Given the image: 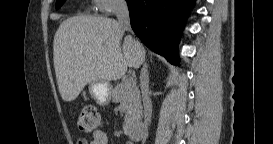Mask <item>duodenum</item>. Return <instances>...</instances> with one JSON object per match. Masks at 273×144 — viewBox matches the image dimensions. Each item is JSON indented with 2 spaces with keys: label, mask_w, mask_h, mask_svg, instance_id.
<instances>
[{
  "label": "duodenum",
  "mask_w": 273,
  "mask_h": 144,
  "mask_svg": "<svg viewBox=\"0 0 273 144\" xmlns=\"http://www.w3.org/2000/svg\"><path fill=\"white\" fill-rule=\"evenodd\" d=\"M126 131L133 141H139L144 136V130L141 124H127Z\"/></svg>",
  "instance_id": "410a0bca"
}]
</instances>
